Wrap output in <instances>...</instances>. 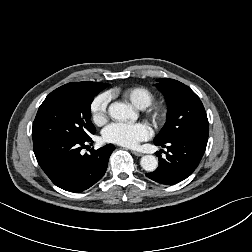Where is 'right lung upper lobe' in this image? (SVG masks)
Segmentation results:
<instances>
[{
    "instance_id": "cb5924a9",
    "label": "right lung upper lobe",
    "mask_w": 252,
    "mask_h": 252,
    "mask_svg": "<svg viewBox=\"0 0 252 252\" xmlns=\"http://www.w3.org/2000/svg\"><path fill=\"white\" fill-rule=\"evenodd\" d=\"M69 85H73L79 88L87 89V90H93V91H101L106 87L105 83H96V82H90V81H84V82H71L68 83Z\"/></svg>"
}]
</instances>
